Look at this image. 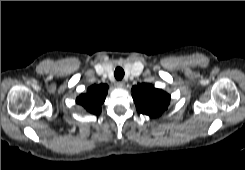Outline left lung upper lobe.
I'll return each mask as SVG.
<instances>
[{
  "instance_id": "left-lung-upper-lobe-1",
  "label": "left lung upper lobe",
  "mask_w": 245,
  "mask_h": 170,
  "mask_svg": "<svg viewBox=\"0 0 245 170\" xmlns=\"http://www.w3.org/2000/svg\"><path fill=\"white\" fill-rule=\"evenodd\" d=\"M132 97L137 111L153 118L161 115L170 103L169 94L146 83L133 86Z\"/></svg>"
}]
</instances>
